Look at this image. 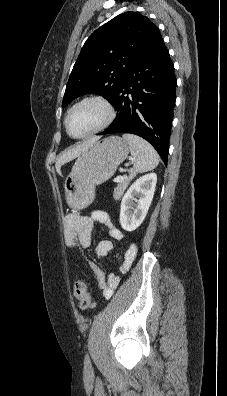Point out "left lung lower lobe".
Returning <instances> with one entry per match:
<instances>
[{
    "mask_svg": "<svg viewBox=\"0 0 227 396\" xmlns=\"http://www.w3.org/2000/svg\"><path fill=\"white\" fill-rule=\"evenodd\" d=\"M174 65L161 38L131 68L111 103L118 111L98 135L131 133L147 140L167 164L175 106Z\"/></svg>",
    "mask_w": 227,
    "mask_h": 396,
    "instance_id": "0a47b994",
    "label": "left lung lower lobe"
}]
</instances>
